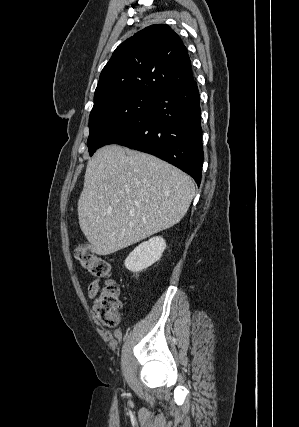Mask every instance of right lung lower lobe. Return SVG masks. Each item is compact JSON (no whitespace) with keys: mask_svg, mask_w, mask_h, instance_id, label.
I'll return each instance as SVG.
<instances>
[{"mask_svg":"<svg viewBox=\"0 0 299 427\" xmlns=\"http://www.w3.org/2000/svg\"><path fill=\"white\" fill-rule=\"evenodd\" d=\"M199 91L193 80L154 97L147 109L107 144L155 155L201 182L203 165Z\"/></svg>","mask_w":299,"mask_h":427,"instance_id":"right-lung-lower-lobe-1","label":"right lung lower lobe"}]
</instances>
